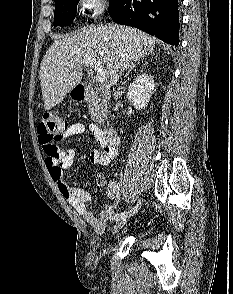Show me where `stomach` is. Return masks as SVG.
<instances>
[{
    "instance_id": "0dacf381",
    "label": "stomach",
    "mask_w": 233,
    "mask_h": 294,
    "mask_svg": "<svg viewBox=\"0 0 233 294\" xmlns=\"http://www.w3.org/2000/svg\"><path fill=\"white\" fill-rule=\"evenodd\" d=\"M70 96L73 99H75V97L77 96V93H76V91L74 89L70 91Z\"/></svg>"
}]
</instances>
